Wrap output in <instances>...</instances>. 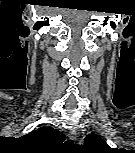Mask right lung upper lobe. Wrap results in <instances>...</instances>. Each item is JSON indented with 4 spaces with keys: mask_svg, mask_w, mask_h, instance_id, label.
I'll return each instance as SVG.
<instances>
[{
    "mask_svg": "<svg viewBox=\"0 0 135 153\" xmlns=\"http://www.w3.org/2000/svg\"><path fill=\"white\" fill-rule=\"evenodd\" d=\"M24 140L28 141L29 143H33L36 145H47L52 144L57 141H64L65 136L51 127H41L37 130L30 132L29 134L22 137Z\"/></svg>",
    "mask_w": 135,
    "mask_h": 153,
    "instance_id": "obj_1",
    "label": "right lung upper lobe"
}]
</instances>
